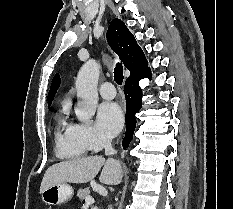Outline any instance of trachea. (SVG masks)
I'll use <instances>...</instances> for the list:
<instances>
[{"mask_svg": "<svg viewBox=\"0 0 233 209\" xmlns=\"http://www.w3.org/2000/svg\"><path fill=\"white\" fill-rule=\"evenodd\" d=\"M123 79V66L118 62L114 68V80L118 85H122Z\"/></svg>", "mask_w": 233, "mask_h": 209, "instance_id": "1", "label": "trachea"}]
</instances>
